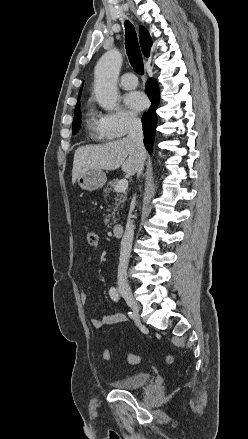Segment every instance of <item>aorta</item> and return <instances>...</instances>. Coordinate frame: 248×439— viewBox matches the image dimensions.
<instances>
[{"label":"aorta","instance_id":"762f6f07","mask_svg":"<svg viewBox=\"0 0 248 439\" xmlns=\"http://www.w3.org/2000/svg\"><path fill=\"white\" fill-rule=\"evenodd\" d=\"M122 65V55L116 49L107 51L95 67V95L105 110L117 106V80Z\"/></svg>","mask_w":248,"mask_h":439}]
</instances>
